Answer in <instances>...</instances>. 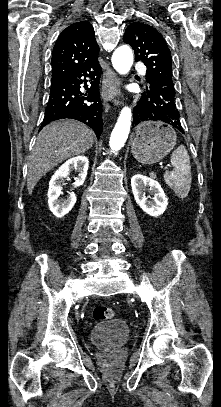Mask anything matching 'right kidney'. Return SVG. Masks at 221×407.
Segmentation results:
<instances>
[{
    "instance_id": "obj_1",
    "label": "right kidney",
    "mask_w": 221,
    "mask_h": 407,
    "mask_svg": "<svg viewBox=\"0 0 221 407\" xmlns=\"http://www.w3.org/2000/svg\"><path fill=\"white\" fill-rule=\"evenodd\" d=\"M89 161L86 156L80 155L67 160L59 169L54 173L50 182L48 190V205L50 211L58 218L64 217L73 208L76 203V196L72 192L67 199H59L61 192V185L64 179L68 177L71 170L79 172L78 177L75 178L74 187L81 186L87 176Z\"/></svg>"
}]
</instances>
